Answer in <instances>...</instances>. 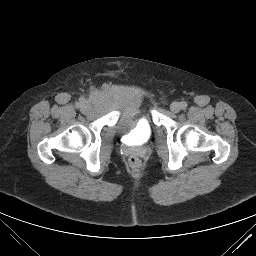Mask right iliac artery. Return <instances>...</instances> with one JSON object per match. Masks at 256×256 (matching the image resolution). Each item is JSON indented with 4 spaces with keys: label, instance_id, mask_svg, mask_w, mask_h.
<instances>
[{
    "label": "right iliac artery",
    "instance_id": "right-iliac-artery-1",
    "mask_svg": "<svg viewBox=\"0 0 256 256\" xmlns=\"http://www.w3.org/2000/svg\"><path fill=\"white\" fill-rule=\"evenodd\" d=\"M83 101H84V98H80V102H77V103H76V107H77V108H80V107H81V104L83 103Z\"/></svg>",
    "mask_w": 256,
    "mask_h": 256
}]
</instances>
